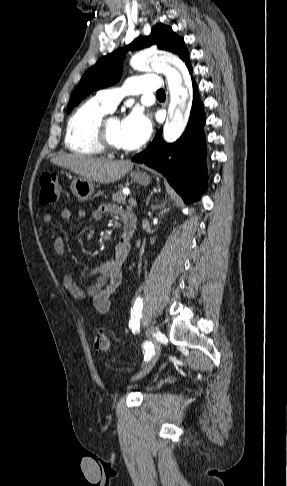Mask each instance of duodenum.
I'll return each instance as SVG.
<instances>
[{
    "instance_id": "duodenum-1",
    "label": "duodenum",
    "mask_w": 287,
    "mask_h": 486,
    "mask_svg": "<svg viewBox=\"0 0 287 486\" xmlns=\"http://www.w3.org/2000/svg\"><path fill=\"white\" fill-rule=\"evenodd\" d=\"M137 219L133 214H127L124 217V229L120 238V244L126 246L130 243L131 238L136 230Z\"/></svg>"
}]
</instances>
